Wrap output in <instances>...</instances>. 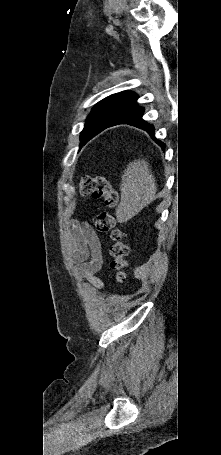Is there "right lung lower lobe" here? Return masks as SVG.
<instances>
[{
	"mask_svg": "<svg viewBox=\"0 0 221 455\" xmlns=\"http://www.w3.org/2000/svg\"><path fill=\"white\" fill-rule=\"evenodd\" d=\"M144 113V109L142 107L136 106L135 108L131 109L130 111L126 112L122 115L116 122H114L111 126L118 125V124H129L136 126L140 129L146 130L149 135L155 140L154 138V130L155 128L153 125L148 124L142 119V115ZM158 144L165 147V144L158 141Z\"/></svg>",
	"mask_w": 221,
	"mask_h": 455,
	"instance_id": "obj_1",
	"label": "right lung lower lobe"
}]
</instances>
